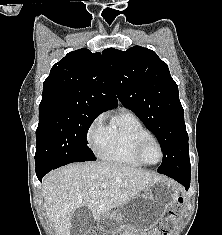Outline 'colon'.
I'll return each mask as SVG.
<instances>
[{
  "label": "colon",
  "mask_w": 222,
  "mask_h": 235,
  "mask_svg": "<svg viewBox=\"0 0 222 235\" xmlns=\"http://www.w3.org/2000/svg\"><path fill=\"white\" fill-rule=\"evenodd\" d=\"M179 203L182 202V198L180 197L178 199ZM179 213V208L173 207L171 209L170 215L168 217H166L162 223V231H163V235H167V231L169 230V228L171 227L173 221L175 220V218L178 216ZM87 235H105L102 232H98V231H90L88 232Z\"/></svg>",
  "instance_id": "1"
}]
</instances>
